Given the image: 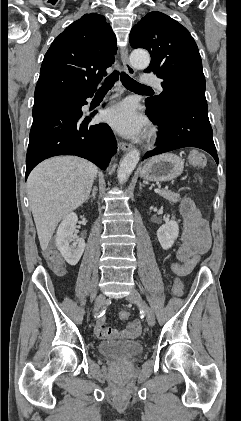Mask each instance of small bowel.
Here are the masks:
<instances>
[{"mask_svg": "<svg viewBox=\"0 0 241 421\" xmlns=\"http://www.w3.org/2000/svg\"><path fill=\"white\" fill-rule=\"evenodd\" d=\"M183 216L182 244L177 251L179 260L184 261L192 256L205 254L211 245L210 231L207 222L202 218L201 212L190 197H184L180 203ZM141 331L139 320H132L124 329L106 327V318L100 317L95 325L94 332L100 339L107 340H133Z\"/></svg>", "mask_w": 241, "mask_h": 421, "instance_id": "1", "label": "small bowel"}]
</instances>
